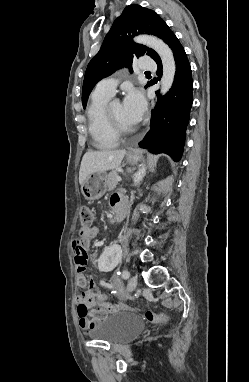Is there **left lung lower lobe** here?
<instances>
[{
  "label": "left lung lower lobe",
  "mask_w": 249,
  "mask_h": 382,
  "mask_svg": "<svg viewBox=\"0 0 249 382\" xmlns=\"http://www.w3.org/2000/svg\"><path fill=\"white\" fill-rule=\"evenodd\" d=\"M170 48L176 62V73L171 90L159 96L151 119V127L139 146L152 153H166L175 161L180 160L186 127L192 106V73L187 55L175 37ZM157 75H162V63L159 59ZM159 95V92H156Z\"/></svg>",
  "instance_id": "obj_1"
}]
</instances>
